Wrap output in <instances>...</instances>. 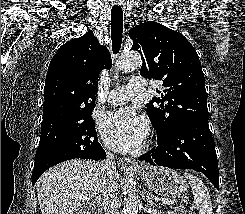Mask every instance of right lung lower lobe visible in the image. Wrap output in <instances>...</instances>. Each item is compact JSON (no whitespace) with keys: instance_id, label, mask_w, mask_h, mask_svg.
<instances>
[{"instance_id":"obj_1","label":"right lung lower lobe","mask_w":245,"mask_h":214,"mask_svg":"<svg viewBox=\"0 0 245 214\" xmlns=\"http://www.w3.org/2000/svg\"><path fill=\"white\" fill-rule=\"evenodd\" d=\"M49 151H52L53 152V150H49ZM75 158L101 160V159H105L106 158V153H105L104 149L101 147V145L99 144V142H97L95 145H93L87 151V153L84 154V156H82V157H75ZM70 159H74V158H70ZM67 160H69V159H67ZM64 161H66V160H64ZM61 162H63V161H61ZM47 169L48 168H35L34 167L33 172H32V185H34L36 183V181L38 180V178Z\"/></svg>"}]
</instances>
